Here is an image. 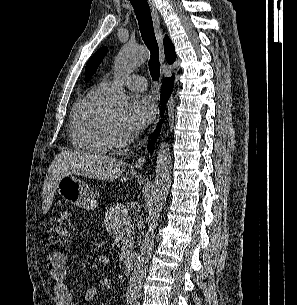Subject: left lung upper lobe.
<instances>
[{
    "label": "left lung upper lobe",
    "mask_w": 297,
    "mask_h": 305,
    "mask_svg": "<svg viewBox=\"0 0 297 305\" xmlns=\"http://www.w3.org/2000/svg\"><path fill=\"white\" fill-rule=\"evenodd\" d=\"M108 49L107 47H102L99 49L88 61L86 68H85V81L88 82L91 76L97 70V67L103 60L104 56L106 55Z\"/></svg>",
    "instance_id": "obj_1"
}]
</instances>
